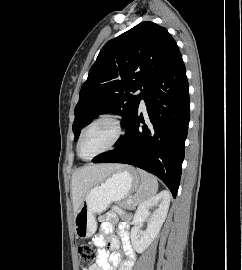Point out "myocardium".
I'll use <instances>...</instances> for the list:
<instances>
[{
	"label": "myocardium",
	"mask_w": 242,
	"mask_h": 270,
	"mask_svg": "<svg viewBox=\"0 0 242 270\" xmlns=\"http://www.w3.org/2000/svg\"><path fill=\"white\" fill-rule=\"evenodd\" d=\"M102 122H107V123H110L114 126V129H115L114 138L106 148H104L103 150H101L100 152L96 153L95 155H93L89 158H84L80 153V144H81L82 138H83L85 132L89 128H91L92 126H94L98 123H102ZM123 134H124V123H123L120 116H118L116 114H112V113L101 114L98 117H96L94 120H92L88 125H86L82 129V131L79 135L78 141H77V146H76L77 154L82 160H85V161L92 160L95 157L102 155L104 153H107L110 150H112L119 143Z\"/></svg>",
	"instance_id": "f54148a6"
}]
</instances>
